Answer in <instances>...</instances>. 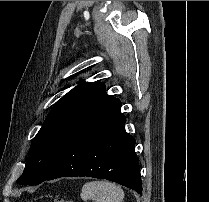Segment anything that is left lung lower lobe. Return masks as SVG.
<instances>
[{"label": "left lung lower lobe", "mask_w": 209, "mask_h": 202, "mask_svg": "<svg viewBox=\"0 0 209 202\" xmlns=\"http://www.w3.org/2000/svg\"><path fill=\"white\" fill-rule=\"evenodd\" d=\"M125 122L119 99L100 108L75 132L46 180L89 176L114 181L142 195L135 139L126 133Z\"/></svg>", "instance_id": "obj_1"}]
</instances>
